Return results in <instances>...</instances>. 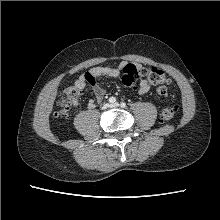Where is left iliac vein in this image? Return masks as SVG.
Returning a JSON list of instances; mask_svg holds the SVG:
<instances>
[{
  "label": "left iliac vein",
  "instance_id": "1",
  "mask_svg": "<svg viewBox=\"0 0 220 220\" xmlns=\"http://www.w3.org/2000/svg\"><path fill=\"white\" fill-rule=\"evenodd\" d=\"M111 106H112V107H118V106H119V103L116 102V103L112 104Z\"/></svg>",
  "mask_w": 220,
  "mask_h": 220
}]
</instances>
